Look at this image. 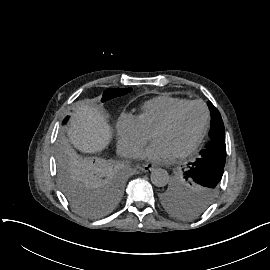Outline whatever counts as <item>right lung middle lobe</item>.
I'll use <instances>...</instances> for the list:
<instances>
[{"mask_svg": "<svg viewBox=\"0 0 270 270\" xmlns=\"http://www.w3.org/2000/svg\"><path fill=\"white\" fill-rule=\"evenodd\" d=\"M132 89L108 88L102 102L122 96ZM64 119V123L68 120ZM59 186L70 206L88 217L105 214L122 195V170L105 157L90 159L60 143L57 150Z\"/></svg>", "mask_w": 270, "mask_h": 270, "instance_id": "obj_1", "label": "right lung middle lobe"}]
</instances>
